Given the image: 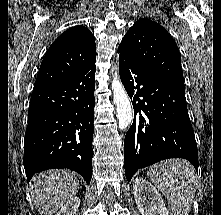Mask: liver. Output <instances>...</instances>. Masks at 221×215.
<instances>
[{
	"label": "liver",
	"mask_w": 221,
	"mask_h": 215,
	"mask_svg": "<svg viewBox=\"0 0 221 215\" xmlns=\"http://www.w3.org/2000/svg\"><path fill=\"white\" fill-rule=\"evenodd\" d=\"M79 189L77 174L68 170H48L33 176L30 182L32 200L41 215H52Z\"/></svg>",
	"instance_id": "1"
}]
</instances>
